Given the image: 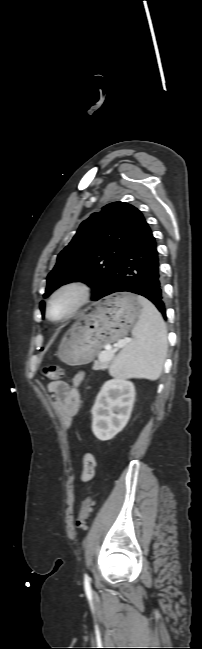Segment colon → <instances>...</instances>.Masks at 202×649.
Instances as JSON below:
<instances>
[{"mask_svg": "<svg viewBox=\"0 0 202 649\" xmlns=\"http://www.w3.org/2000/svg\"><path fill=\"white\" fill-rule=\"evenodd\" d=\"M44 376L46 379L50 381H57L60 379L63 375L62 368L57 366V365H50L44 368L43 370ZM93 498L91 496H88L82 503L81 509L79 512V515L76 520V526L79 529H85L86 528V523L87 519L91 513L92 506H93Z\"/></svg>", "mask_w": 202, "mask_h": 649, "instance_id": "5ec220e1", "label": "colon"}]
</instances>
